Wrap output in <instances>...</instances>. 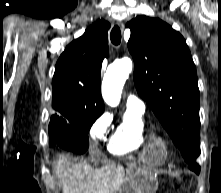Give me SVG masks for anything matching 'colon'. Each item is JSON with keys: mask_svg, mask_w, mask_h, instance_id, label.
Segmentation results:
<instances>
[{"mask_svg": "<svg viewBox=\"0 0 221 193\" xmlns=\"http://www.w3.org/2000/svg\"><path fill=\"white\" fill-rule=\"evenodd\" d=\"M183 180L181 178H176L173 180V186L175 189H181L183 187Z\"/></svg>", "mask_w": 221, "mask_h": 193, "instance_id": "1", "label": "colon"}]
</instances>
